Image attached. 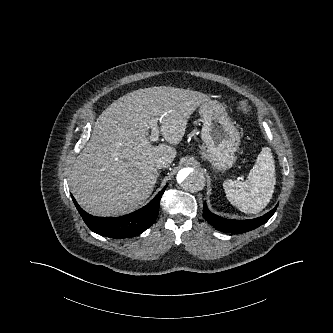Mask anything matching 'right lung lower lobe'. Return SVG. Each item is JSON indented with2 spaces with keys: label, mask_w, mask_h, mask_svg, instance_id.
<instances>
[{
  "label": "right lung lower lobe",
  "mask_w": 333,
  "mask_h": 333,
  "mask_svg": "<svg viewBox=\"0 0 333 333\" xmlns=\"http://www.w3.org/2000/svg\"><path fill=\"white\" fill-rule=\"evenodd\" d=\"M167 187V186H166ZM162 189L154 199L143 208L121 217H96L86 213L72 196L73 202L86 225L93 232L115 239L134 237L147 228L156 220L159 214L160 199L166 189Z\"/></svg>",
  "instance_id": "obj_1"
}]
</instances>
